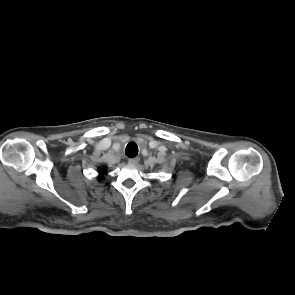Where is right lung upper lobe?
Instances as JSON below:
<instances>
[{
  "instance_id": "obj_1",
  "label": "right lung upper lobe",
  "mask_w": 295,
  "mask_h": 295,
  "mask_svg": "<svg viewBox=\"0 0 295 295\" xmlns=\"http://www.w3.org/2000/svg\"><path fill=\"white\" fill-rule=\"evenodd\" d=\"M102 171H103V168H99V178H102Z\"/></svg>"
}]
</instances>
